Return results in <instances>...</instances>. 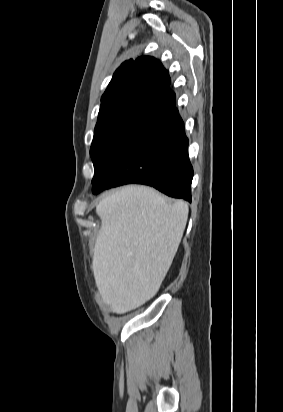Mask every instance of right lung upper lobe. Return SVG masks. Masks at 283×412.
I'll return each mask as SVG.
<instances>
[{"mask_svg":"<svg viewBox=\"0 0 283 412\" xmlns=\"http://www.w3.org/2000/svg\"><path fill=\"white\" fill-rule=\"evenodd\" d=\"M165 71L158 60L148 56L122 63L101 98L98 120L121 114L165 115L175 104Z\"/></svg>","mask_w":283,"mask_h":412,"instance_id":"1","label":"right lung upper lobe"}]
</instances>
